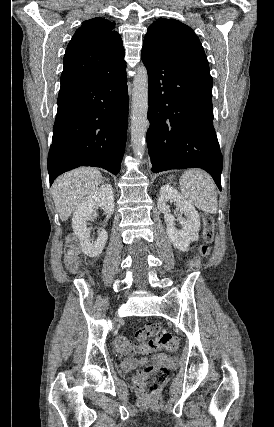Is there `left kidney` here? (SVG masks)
<instances>
[{"label":"left kidney","mask_w":274,"mask_h":427,"mask_svg":"<svg viewBox=\"0 0 274 427\" xmlns=\"http://www.w3.org/2000/svg\"><path fill=\"white\" fill-rule=\"evenodd\" d=\"M167 202H175L177 219H179L182 229L175 227V217L170 214ZM157 208L159 212L164 214L167 225L166 231L171 243L180 251H188L190 241H196L199 237L200 217L194 206L184 200L178 190L166 184L160 188Z\"/></svg>","instance_id":"1"}]
</instances>
